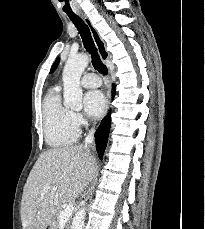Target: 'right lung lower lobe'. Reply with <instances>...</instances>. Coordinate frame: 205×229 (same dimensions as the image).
I'll return each mask as SVG.
<instances>
[{
	"mask_svg": "<svg viewBox=\"0 0 205 229\" xmlns=\"http://www.w3.org/2000/svg\"><path fill=\"white\" fill-rule=\"evenodd\" d=\"M112 95L114 96V89L112 91ZM110 130V113L102 120L99 128L95 132V141H96V149L99 155V158H103V153L106 148L108 135Z\"/></svg>",
	"mask_w": 205,
	"mask_h": 229,
	"instance_id": "obj_1",
	"label": "right lung lower lobe"
}]
</instances>
